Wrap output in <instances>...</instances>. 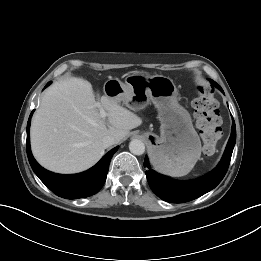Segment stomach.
<instances>
[{"mask_svg":"<svg viewBox=\"0 0 261 261\" xmlns=\"http://www.w3.org/2000/svg\"><path fill=\"white\" fill-rule=\"evenodd\" d=\"M104 93L132 110L152 102L158 111L160 136L144 133L153 165L172 176L188 174L201 155V141L193 127L189 112L178 103L177 88L163 75L132 74L126 83L109 79Z\"/></svg>","mask_w":261,"mask_h":261,"instance_id":"0dacf381","label":"stomach"}]
</instances>
